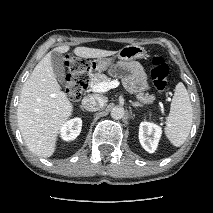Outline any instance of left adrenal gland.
Here are the masks:
<instances>
[{"instance_id": "a2214340", "label": "left adrenal gland", "mask_w": 213, "mask_h": 213, "mask_svg": "<svg viewBox=\"0 0 213 213\" xmlns=\"http://www.w3.org/2000/svg\"><path fill=\"white\" fill-rule=\"evenodd\" d=\"M131 104H132L133 107H142V105L137 103V102H132L131 101Z\"/></svg>"}]
</instances>
